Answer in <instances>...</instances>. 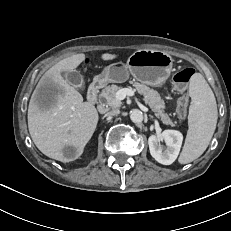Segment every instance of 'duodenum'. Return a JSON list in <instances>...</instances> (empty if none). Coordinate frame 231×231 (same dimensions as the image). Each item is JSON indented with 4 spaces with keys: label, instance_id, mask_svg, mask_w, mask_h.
<instances>
[{
    "label": "duodenum",
    "instance_id": "duodenum-1",
    "mask_svg": "<svg viewBox=\"0 0 231 231\" xmlns=\"http://www.w3.org/2000/svg\"><path fill=\"white\" fill-rule=\"evenodd\" d=\"M103 86H104V81L101 78H97L93 80L87 93V100L90 104L94 105L97 103L98 94L100 90L103 88Z\"/></svg>",
    "mask_w": 231,
    "mask_h": 231
}]
</instances>
